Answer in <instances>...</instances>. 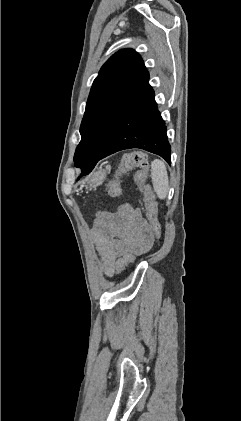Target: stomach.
Here are the masks:
<instances>
[{"label": "stomach", "mask_w": 241, "mask_h": 421, "mask_svg": "<svg viewBox=\"0 0 241 421\" xmlns=\"http://www.w3.org/2000/svg\"><path fill=\"white\" fill-rule=\"evenodd\" d=\"M108 173V169H100L99 171L95 172L90 179V187H94L97 186L99 184H101L105 178L106 175Z\"/></svg>", "instance_id": "0dacf381"}]
</instances>
